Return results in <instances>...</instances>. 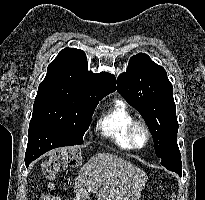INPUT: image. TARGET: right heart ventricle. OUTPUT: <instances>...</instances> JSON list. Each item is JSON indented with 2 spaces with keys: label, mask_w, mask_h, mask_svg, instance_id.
<instances>
[{
  "label": "right heart ventricle",
  "mask_w": 205,
  "mask_h": 200,
  "mask_svg": "<svg viewBox=\"0 0 205 200\" xmlns=\"http://www.w3.org/2000/svg\"><path fill=\"white\" fill-rule=\"evenodd\" d=\"M135 120L131 110L122 99H115L104 111L97 126L102 135L121 149L130 150L132 146L127 137V129Z\"/></svg>",
  "instance_id": "obj_1"
}]
</instances>
